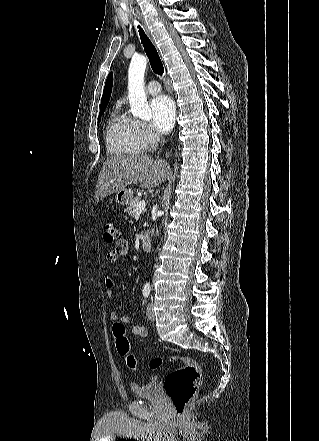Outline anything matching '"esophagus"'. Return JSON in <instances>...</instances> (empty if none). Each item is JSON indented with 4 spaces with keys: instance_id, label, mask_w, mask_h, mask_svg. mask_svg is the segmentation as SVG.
Masks as SVG:
<instances>
[{
    "instance_id": "34e87169",
    "label": "esophagus",
    "mask_w": 319,
    "mask_h": 441,
    "mask_svg": "<svg viewBox=\"0 0 319 441\" xmlns=\"http://www.w3.org/2000/svg\"><path fill=\"white\" fill-rule=\"evenodd\" d=\"M138 18L141 21L142 26H143L145 32L147 33L148 37L153 41L151 33H150V30H149V28H148V26L146 24V21L144 20L142 14H140L139 12H138Z\"/></svg>"
}]
</instances>
